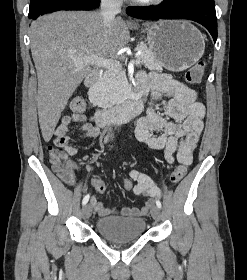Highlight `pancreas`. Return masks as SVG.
Instances as JSON below:
<instances>
[{
  "mask_svg": "<svg viewBox=\"0 0 247 280\" xmlns=\"http://www.w3.org/2000/svg\"><path fill=\"white\" fill-rule=\"evenodd\" d=\"M136 50L141 51L137 56L140 64L150 70H162V66L144 43L139 44ZM125 84L126 78L122 67L106 70L95 85L96 103L102 108L120 103L124 99Z\"/></svg>",
  "mask_w": 247,
  "mask_h": 280,
  "instance_id": "obj_1",
  "label": "pancreas"
}]
</instances>
